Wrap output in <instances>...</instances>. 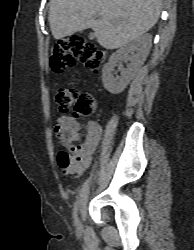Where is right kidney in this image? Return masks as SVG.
<instances>
[{
	"mask_svg": "<svg viewBox=\"0 0 194 250\" xmlns=\"http://www.w3.org/2000/svg\"><path fill=\"white\" fill-rule=\"evenodd\" d=\"M152 45V36L145 34L114 52L102 71L104 88L112 94H119L127 87L139 68L144 64ZM136 52V53H135ZM120 61H130L127 68H121V76L114 78L113 72Z\"/></svg>",
	"mask_w": 194,
	"mask_h": 250,
	"instance_id": "right-kidney-1",
	"label": "right kidney"
}]
</instances>
